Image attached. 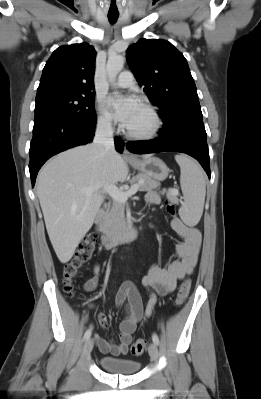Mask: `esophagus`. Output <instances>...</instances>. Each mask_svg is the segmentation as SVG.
<instances>
[{
  "instance_id": "obj_1",
  "label": "esophagus",
  "mask_w": 261,
  "mask_h": 399,
  "mask_svg": "<svg viewBox=\"0 0 261 399\" xmlns=\"http://www.w3.org/2000/svg\"><path fill=\"white\" fill-rule=\"evenodd\" d=\"M123 156H124V158H127V159H134V156L131 155L130 152L126 148L124 149Z\"/></svg>"
}]
</instances>
